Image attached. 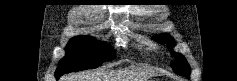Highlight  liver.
I'll list each match as a JSON object with an SVG mask.
<instances>
[{
    "mask_svg": "<svg viewBox=\"0 0 237 81\" xmlns=\"http://www.w3.org/2000/svg\"><path fill=\"white\" fill-rule=\"evenodd\" d=\"M122 73L123 72L120 70L77 73L66 76L64 81H125L121 80ZM132 74L135 76L133 79L143 81L144 79H147V76L153 75L154 72L151 70H144V68L135 67L132 68Z\"/></svg>",
    "mask_w": 237,
    "mask_h": 81,
    "instance_id": "liver-1",
    "label": "liver"
}]
</instances>
